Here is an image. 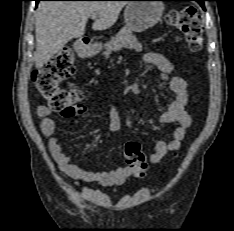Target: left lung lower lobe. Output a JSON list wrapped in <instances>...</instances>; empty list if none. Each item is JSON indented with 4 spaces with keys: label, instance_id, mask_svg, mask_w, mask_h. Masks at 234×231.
Here are the masks:
<instances>
[{
    "label": "left lung lower lobe",
    "instance_id": "obj_1",
    "mask_svg": "<svg viewBox=\"0 0 234 231\" xmlns=\"http://www.w3.org/2000/svg\"><path fill=\"white\" fill-rule=\"evenodd\" d=\"M181 1H183V0H181ZM185 1H197L202 6V8L205 9L204 1H208V0H185Z\"/></svg>",
    "mask_w": 234,
    "mask_h": 231
}]
</instances>
